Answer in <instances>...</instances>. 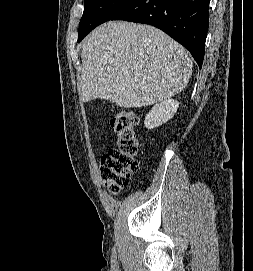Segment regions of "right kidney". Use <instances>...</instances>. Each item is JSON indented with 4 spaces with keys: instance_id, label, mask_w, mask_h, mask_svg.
Segmentation results:
<instances>
[{
    "instance_id": "1",
    "label": "right kidney",
    "mask_w": 253,
    "mask_h": 271,
    "mask_svg": "<svg viewBox=\"0 0 253 271\" xmlns=\"http://www.w3.org/2000/svg\"><path fill=\"white\" fill-rule=\"evenodd\" d=\"M179 102L174 99H165L154 105L145 117L144 125L147 129L156 128L170 120L177 112Z\"/></svg>"
}]
</instances>
